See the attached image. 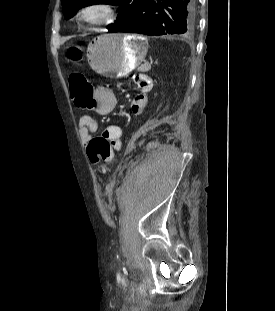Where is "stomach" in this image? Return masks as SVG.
<instances>
[{
    "mask_svg": "<svg viewBox=\"0 0 275 311\" xmlns=\"http://www.w3.org/2000/svg\"><path fill=\"white\" fill-rule=\"evenodd\" d=\"M148 50L147 39L135 34H105L89 43L90 67L106 77H124L137 68Z\"/></svg>",
    "mask_w": 275,
    "mask_h": 311,
    "instance_id": "0dacf381",
    "label": "stomach"
}]
</instances>
